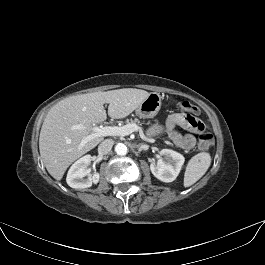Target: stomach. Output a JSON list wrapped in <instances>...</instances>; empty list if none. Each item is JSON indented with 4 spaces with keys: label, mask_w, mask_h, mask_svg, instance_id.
<instances>
[{
    "label": "stomach",
    "mask_w": 265,
    "mask_h": 265,
    "mask_svg": "<svg viewBox=\"0 0 265 265\" xmlns=\"http://www.w3.org/2000/svg\"><path fill=\"white\" fill-rule=\"evenodd\" d=\"M162 97L159 93L152 92L136 109L140 118H153L161 108Z\"/></svg>",
    "instance_id": "0dacf381"
}]
</instances>
